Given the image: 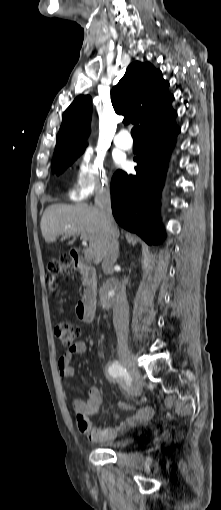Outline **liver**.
Segmentation results:
<instances>
[{"mask_svg": "<svg viewBox=\"0 0 221 510\" xmlns=\"http://www.w3.org/2000/svg\"><path fill=\"white\" fill-rule=\"evenodd\" d=\"M40 227L47 243L55 242L60 235L70 237L85 233L94 252V263L98 265L103 260L108 237L96 206L52 204L45 209ZM74 241L75 238L68 245Z\"/></svg>", "mask_w": 221, "mask_h": 510, "instance_id": "liver-1", "label": "liver"}]
</instances>
